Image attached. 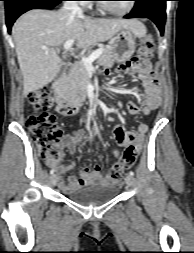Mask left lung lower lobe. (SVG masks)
<instances>
[{
	"label": "left lung lower lobe",
	"mask_w": 194,
	"mask_h": 253,
	"mask_svg": "<svg viewBox=\"0 0 194 253\" xmlns=\"http://www.w3.org/2000/svg\"><path fill=\"white\" fill-rule=\"evenodd\" d=\"M135 1L132 11L125 18H148L159 28L161 34L164 32L166 19L167 0H133Z\"/></svg>",
	"instance_id": "obj_1"
}]
</instances>
